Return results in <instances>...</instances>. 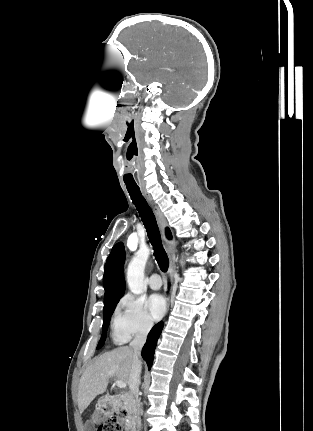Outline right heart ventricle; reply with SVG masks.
<instances>
[{"instance_id": "e07e8e85", "label": "right heart ventricle", "mask_w": 313, "mask_h": 431, "mask_svg": "<svg viewBox=\"0 0 313 431\" xmlns=\"http://www.w3.org/2000/svg\"><path fill=\"white\" fill-rule=\"evenodd\" d=\"M115 336V338L118 340V341H125V339L124 338H122V337H119V336H116V335H114Z\"/></svg>"}]
</instances>
